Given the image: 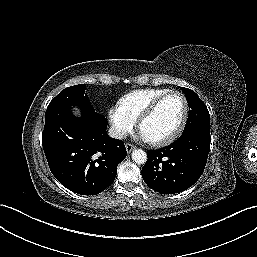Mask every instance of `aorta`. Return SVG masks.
<instances>
[{
  "mask_svg": "<svg viewBox=\"0 0 257 257\" xmlns=\"http://www.w3.org/2000/svg\"><path fill=\"white\" fill-rule=\"evenodd\" d=\"M132 159L137 164H144L147 161V154L142 149H136L132 152Z\"/></svg>",
  "mask_w": 257,
  "mask_h": 257,
  "instance_id": "obj_1",
  "label": "aorta"
}]
</instances>
